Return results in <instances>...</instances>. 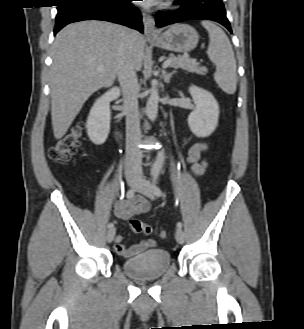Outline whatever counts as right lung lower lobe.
Returning <instances> with one entry per match:
<instances>
[{
    "label": "right lung lower lobe",
    "instance_id": "obj_1",
    "mask_svg": "<svg viewBox=\"0 0 304 329\" xmlns=\"http://www.w3.org/2000/svg\"><path fill=\"white\" fill-rule=\"evenodd\" d=\"M132 0H70L58 5L54 35L69 23L104 20L143 32L142 16Z\"/></svg>",
    "mask_w": 304,
    "mask_h": 329
}]
</instances>
